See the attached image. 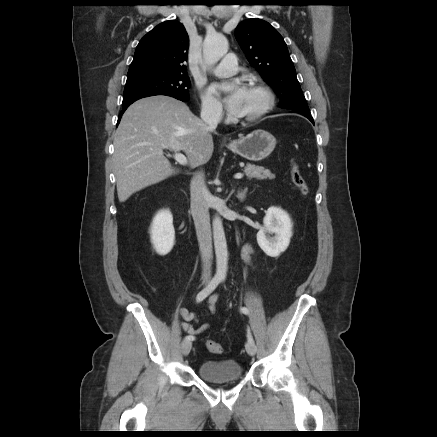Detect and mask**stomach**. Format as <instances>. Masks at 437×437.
<instances>
[{
  "label": "stomach",
  "instance_id": "stomach-1",
  "mask_svg": "<svg viewBox=\"0 0 437 437\" xmlns=\"http://www.w3.org/2000/svg\"><path fill=\"white\" fill-rule=\"evenodd\" d=\"M275 146V137L264 130H255L228 144V148L233 153L254 162L267 158L273 152Z\"/></svg>",
  "mask_w": 437,
  "mask_h": 437
}]
</instances>
